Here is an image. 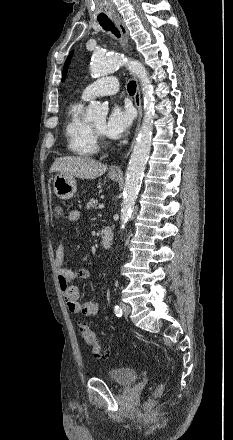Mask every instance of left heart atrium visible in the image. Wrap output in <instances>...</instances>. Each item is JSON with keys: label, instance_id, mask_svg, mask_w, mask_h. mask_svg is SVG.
<instances>
[{"label": "left heart atrium", "instance_id": "left-heart-atrium-1", "mask_svg": "<svg viewBox=\"0 0 233 440\" xmlns=\"http://www.w3.org/2000/svg\"><path fill=\"white\" fill-rule=\"evenodd\" d=\"M132 120L130 108L114 105L105 124V134L114 139L122 137L130 128Z\"/></svg>", "mask_w": 233, "mask_h": 440}]
</instances>
